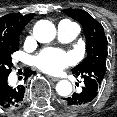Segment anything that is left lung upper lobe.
Instances as JSON below:
<instances>
[{
    "label": "left lung upper lobe",
    "instance_id": "1",
    "mask_svg": "<svg viewBox=\"0 0 117 117\" xmlns=\"http://www.w3.org/2000/svg\"><path fill=\"white\" fill-rule=\"evenodd\" d=\"M63 12L83 26L86 36V58L73 69V74L94 79L99 88L106 72L107 38L103 26L89 13L81 9H65Z\"/></svg>",
    "mask_w": 117,
    "mask_h": 117
}]
</instances>
